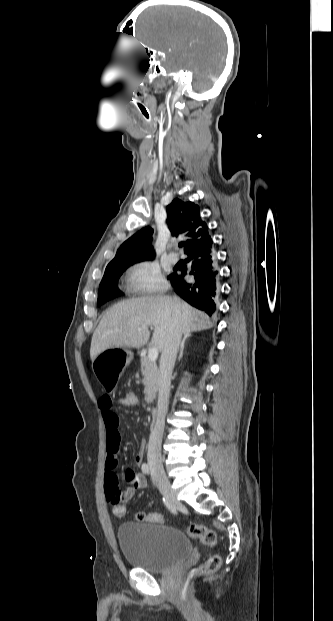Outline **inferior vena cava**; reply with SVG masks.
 <instances>
[{
  "label": "inferior vena cava",
  "instance_id": "obj_1",
  "mask_svg": "<svg viewBox=\"0 0 333 621\" xmlns=\"http://www.w3.org/2000/svg\"><path fill=\"white\" fill-rule=\"evenodd\" d=\"M176 301V300H175ZM182 331L174 320L166 336L160 359L158 413L154 428L151 431L148 443V463L162 464L161 443L165 426V417L168 410L171 375L176 361L177 351L181 342Z\"/></svg>",
  "mask_w": 333,
  "mask_h": 621
}]
</instances>
